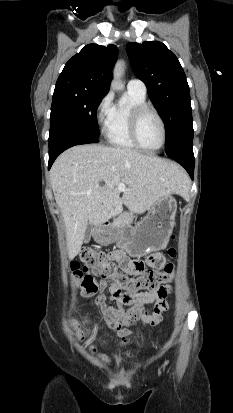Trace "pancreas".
Returning a JSON list of instances; mask_svg holds the SVG:
<instances>
[{"label":"pancreas","mask_w":233,"mask_h":413,"mask_svg":"<svg viewBox=\"0 0 233 413\" xmlns=\"http://www.w3.org/2000/svg\"><path fill=\"white\" fill-rule=\"evenodd\" d=\"M134 216L130 212H124L120 216L114 219L112 226L113 227H123L125 225H130L133 222Z\"/></svg>","instance_id":"cf45deb5"}]
</instances>
